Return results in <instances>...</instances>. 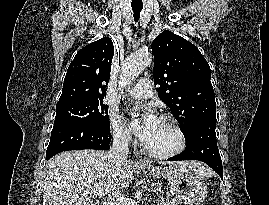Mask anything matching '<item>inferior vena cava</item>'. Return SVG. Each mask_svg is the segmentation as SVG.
<instances>
[{
    "label": "inferior vena cava",
    "instance_id": "1",
    "mask_svg": "<svg viewBox=\"0 0 269 205\" xmlns=\"http://www.w3.org/2000/svg\"><path fill=\"white\" fill-rule=\"evenodd\" d=\"M129 141L130 135L121 130L114 131L113 143L108 152V157L111 158L115 164L120 165L127 160L129 154ZM121 196L120 189H118L117 192H113L112 195L109 196V200L105 205H120L122 199Z\"/></svg>",
    "mask_w": 269,
    "mask_h": 205
}]
</instances>
